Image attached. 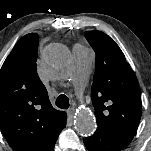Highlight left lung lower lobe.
I'll list each match as a JSON object with an SVG mask.
<instances>
[{
	"instance_id": "1",
	"label": "left lung lower lobe",
	"mask_w": 151,
	"mask_h": 151,
	"mask_svg": "<svg viewBox=\"0 0 151 151\" xmlns=\"http://www.w3.org/2000/svg\"><path fill=\"white\" fill-rule=\"evenodd\" d=\"M133 137L108 132L105 130L98 129L90 136L84 138V144L89 151H120L126 147Z\"/></svg>"
}]
</instances>
